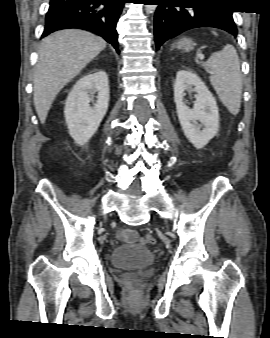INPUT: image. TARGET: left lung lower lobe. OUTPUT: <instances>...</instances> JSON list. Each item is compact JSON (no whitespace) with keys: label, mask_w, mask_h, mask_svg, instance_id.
I'll use <instances>...</instances> for the list:
<instances>
[{"label":"left lung lower lobe","mask_w":270,"mask_h":338,"mask_svg":"<svg viewBox=\"0 0 270 338\" xmlns=\"http://www.w3.org/2000/svg\"><path fill=\"white\" fill-rule=\"evenodd\" d=\"M157 3L154 16L156 48L187 30L214 27L235 37L237 28L232 18L233 10L225 7L224 0H152ZM179 4V5H176ZM186 5H195L192 9Z\"/></svg>","instance_id":"0a47b994"}]
</instances>
